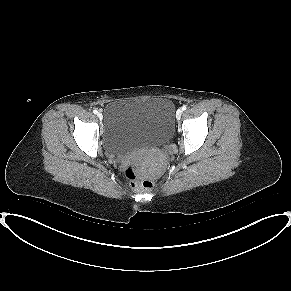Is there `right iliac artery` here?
Returning <instances> with one entry per match:
<instances>
[{
	"label": "right iliac artery",
	"mask_w": 291,
	"mask_h": 291,
	"mask_svg": "<svg viewBox=\"0 0 291 291\" xmlns=\"http://www.w3.org/2000/svg\"><path fill=\"white\" fill-rule=\"evenodd\" d=\"M93 113H94V114H97V113H98V111L95 109V110H93Z\"/></svg>",
	"instance_id": "obj_1"
}]
</instances>
